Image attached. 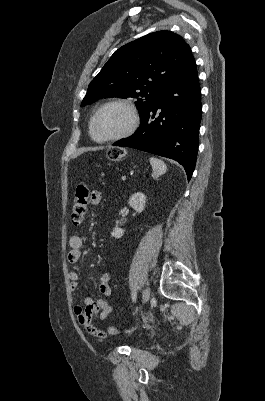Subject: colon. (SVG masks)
Instances as JSON below:
<instances>
[{
	"mask_svg": "<svg viewBox=\"0 0 265 401\" xmlns=\"http://www.w3.org/2000/svg\"><path fill=\"white\" fill-rule=\"evenodd\" d=\"M125 152L120 148H111L108 151V157L112 161H118L124 156ZM90 197V192L85 184H79L75 189L74 203L71 212V223L73 226H79L84 218L86 212V206ZM87 331L95 336L100 337L102 332L96 329L92 324L86 326ZM122 331L115 327H110L107 329V333L111 335L120 334ZM106 333V332H105Z\"/></svg>",
	"mask_w": 265,
	"mask_h": 401,
	"instance_id": "colon-1",
	"label": "colon"
}]
</instances>
